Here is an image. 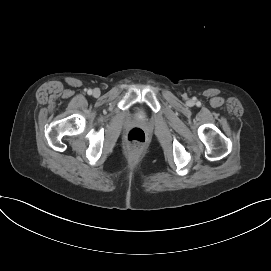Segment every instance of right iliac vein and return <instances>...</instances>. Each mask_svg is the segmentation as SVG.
<instances>
[{
	"instance_id": "63e3f726",
	"label": "right iliac vein",
	"mask_w": 271,
	"mask_h": 271,
	"mask_svg": "<svg viewBox=\"0 0 271 271\" xmlns=\"http://www.w3.org/2000/svg\"><path fill=\"white\" fill-rule=\"evenodd\" d=\"M99 94H100V91H99L98 89H95V90L93 91V95H94L95 97L99 96Z\"/></svg>"
}]
</instances>
